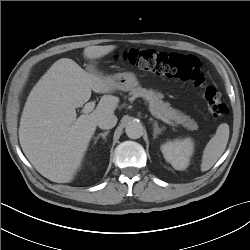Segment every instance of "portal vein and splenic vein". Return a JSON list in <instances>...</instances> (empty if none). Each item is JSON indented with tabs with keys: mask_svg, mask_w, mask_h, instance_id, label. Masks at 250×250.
<instances>
[{
	"mask_svg": "<svg viewBox=\"0 0 250 250\" xmlns=\"http://www.w3.org/2000/svg\"><path fill=\"white\" fill-rule=\"evenodd\" d=\"M95 108V102L94 101H90L88 103L85 104L84 109L82 110V112L84 114H89L90 112H92ZM156 117L158 119H161L163 122L170 124V125H174L173 122H171L170 120L166 119L165 117L161 116L159 113H155Z\"/></svg>",
	"mask_w": 250,
	"mask_h": 250,
	"instance_id": "obj_1",
	"label": "portal vein and splenic vein"
}]
</instances>
